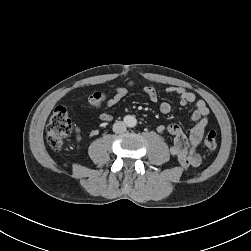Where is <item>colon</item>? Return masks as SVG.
I'll return each instance as SVG.
<instances>
[{"mask_svg": "<svg viewBox=\"0 0 251 251\" xmlns=\"http://www.w3.org/2000/svg\"><path fill=\"white\" fill-rule=\"evenodd\" d=\"M106 101L107 94L102 92L94 93L88 98V103L96 107L101 106ZM73 131L79 135V130L74 126L69 117L68 109L65 106L56 107L50 116L46 130L49 146L53 150L59 151L63 147L67 137ZM204 143L209 150L216 149L218 144L217 133L213 130L209 131L205 137Z\"/></svg>", "mask_w": 251, "mask_h": 251, "instance_id": "5ec220e1", "label": "colon"}]
</instances>
